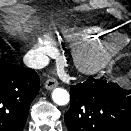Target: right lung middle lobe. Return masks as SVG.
I'll list each match as a JSON object with an SVG mask.
<instances>
[{
  "label": "right lung middle lobe",
  "instance_id": "1",
  "mask_svg": "<svg viewBox=\"0 0 131 131\" xmlns=\"http://www.w3.org/2000/svg\"><path fill=\"white\" fill-rule=\"evenodd\" d=\"M0 47H2L3 50H7L9 47L5 46V42L0 36Z\"/></svg>",
  "mask_w": 131,
  "mask_h": 131
}]
</instances>
